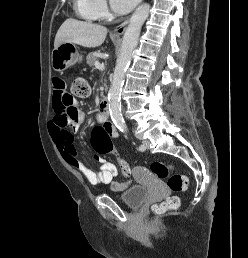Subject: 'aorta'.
<instances>
[{
  "label": "aorta",
  "mask_w": 248,
  "mask_h": 258,
  "mask_svg": "<svg viewBox=\"0 0 248 258\" xmlns=\"http://www.w3.org/2000/svg\"><path fill=\"white\" fill-rule=\"evenodd\" d=\"M150 5L143 4L133 13L125 31L120 55L117 59L111 87L108 93L109 111L111 118L118 129L126 130V125L121 114L120 97L126 70L128 69L133 51L136 48L141 28L149 16Z\"/></svg>",
  "instance_id": "obj_1"
}]
</instances>
